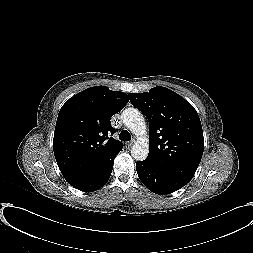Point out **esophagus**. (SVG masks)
Returning a JSON list of instances; mask_svg holds the SVG:
<instances>
[{"label":"esophagus","mask_w":253,"mask_h":253,"mask_svg":"<svg viewBox=\"0 0 253 253\" xmlns=\"http://www.w3.org/2000/svg\"><path fill=\"white\" fill-rule=\"evenodd\" d=\"M134 144V141H130L127 143V147H131Z\"/></svg>","instance_id":"esophagus-1"}]
</instances>
